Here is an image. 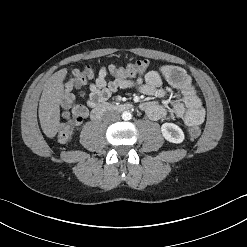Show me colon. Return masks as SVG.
<instances>
[{
  "instance_id": "1",
  "label": "colon",
  "mask_w": 247,
  "mask_h": 247,
  "mask_svg": "<svg viewBox=\"0 0 247 247\" xmlns=\"http://www.w3.org/2000/svg\"><path fill=\"white\" fill-rule=\"evenodd\" d=\"M148 69V62L146 60H136L130 62L123 67L111 66L109 72L116 78H134L144 74ZM94 70L87 66L83 70H75L73 72V83L76 86L83 85L88 79L92 78ZM81 122L80 118H74L61 123L58 129V138L62 143H67L72 135L73 125ZM201 129L198 126H192L188 129L187 135L191 139H196L200 136Z\"/></svg>"
}]
</instances>
